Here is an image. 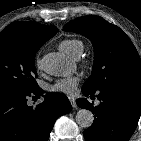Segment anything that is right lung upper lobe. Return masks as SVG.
<instances>
[{
  "label": "right lung upper lobe",
  "instance_id": "right-lung-upper-lobe-1",
  "mask_svg": "<svg viewBox=\"0 0 141 141\" xmlns=\"http://www.w3.org/2000/svg\"><path fill=\"white\" fill-rule=\"evenodd\" d=\"M4 30L27 32L45 42L49 40L53 35H55L58 31V29L55 26H46L33 21L13 22Z\"/></svg>",
  "mask_w": 141,
  "mask_h": 141
}]
</instances>
